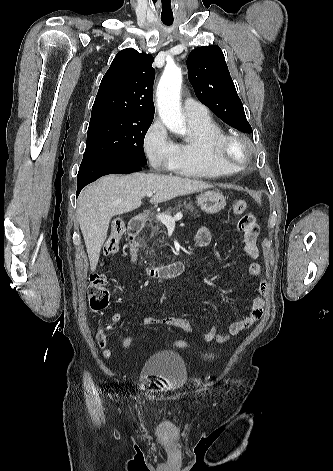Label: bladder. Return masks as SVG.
I'll return each instance as SVG.
<instances>
[{"label":"bladder","instance_id":"31cf9c89","mask_svg":"<svg viewBox=\"0 0 333 471\" xmlns=\"http://www.w3.org/2000/svg\"><path fill=\"white\" fill-rule=\"evenodd\" d=\"M140 374L145 377H155L166 384L165 391L181 390L188 378L184 359L173 351H160L150 356L143 364Z\"/></svg>","mask_w":333,"mask_h":471}]
</instances>
